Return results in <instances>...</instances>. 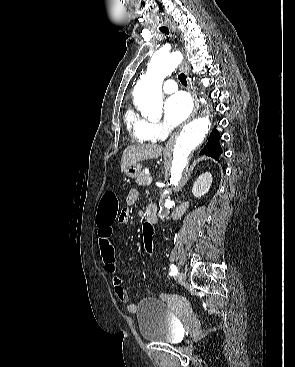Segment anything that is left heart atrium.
I'll list each match as a JSON object with an SVG mask.
<instances>
[{
  "label": "left heart atrium",
  "mask_w": 295,
  "mask_h": 367,
  "mask_svg": "<svg viewBox=\"0 0 295 367\" xmlns=\"http://www.w3.org/2000/svg\"><path fill=\"white\" fill-rule=\"evenodd\" d=\"M192 108L189 96L184 92H177L170 96L164 106V120L170 127H176L190 114Z\"/></svg>",
  "instance_id": "39dd6f15"
}]
</instances>
